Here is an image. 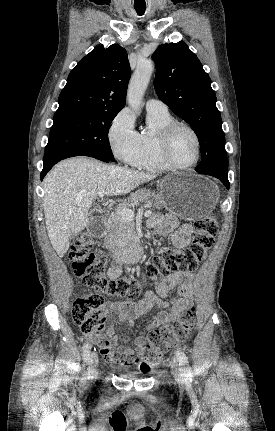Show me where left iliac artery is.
Here are the masks:
<instances>
[{
    "label": "left iliac artery",
    "instance_id": "1",
    "mask_svg": "<svg viewBox=\"0 0 275 431\" xmlns=\"http://www.w3.org/2000/svg\"><path fill=\"white\" fill-rule=\"evenodd\" d=\"M175 354H176V358L178 360V363L181 367L180 369L182 370L184 376L187 379H190L191 378V369H190L189 364H188L187 356L181 350H177Z\"/></svg>",
    "mask_w": 275,
    "mask_h": 431
}]
</instances>
